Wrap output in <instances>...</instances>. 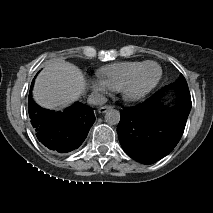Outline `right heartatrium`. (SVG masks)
Listing matches in <instances>:
<instances>
[{
	"instance_id": "obj_1",
	"label": "right heart atrium",
	"mask_w": 213,
	"mask_h": 213,
	"mask_svg": "<svg viewBox=\"0 0 213 213\" xmlns=\"http://www.w3.org/2000/svg\"><path fill=\"white\" fill-rule=\"evenodd\" d=\"M90 86L92 90L98 94H104L111 90L108 84L101 77L92 79Z\"/></svg>"
}]
</instances>
